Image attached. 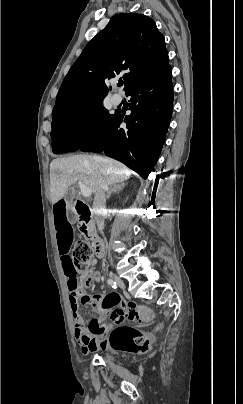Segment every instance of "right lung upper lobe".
<instances>
[{
  "label": "right lung upper lobe",
  "instance_id": "cb5924a9",
  "mask_svg": "<svg viewBox=\"0 0 243 404\" xmlns=\"http://www.w3.org/2000/svg\"><path fill=\"white\" fill-rule=\"evenodd\" d=\"M163 35L143 14H117L83 49L63 80L52 116L108 93L106 81L120 72L125 92L168 66Z\"/></svg>",
  "mask_w": 243,
  "mask_h": 404
}]
</instances>
